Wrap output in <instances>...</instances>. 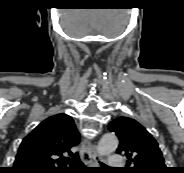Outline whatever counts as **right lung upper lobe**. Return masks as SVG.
<instances>
[{
    "label": "right lung upper lobe",
    "instance_id": "cb5924a9",
    "mask_svg": "<svg viewBox=\"0 0 184 173\" xmlns=\"http://www.w3.org/2000/svg\"><path fill=\"white\" fill-rule=\"evenodd\" d=\"M80 142L73 119L57 114L41 122L26 136L17 153L13 173H66L63 155Z\"/></svg>",
    "mask_w": 184,
    "mask_h": 173
}]
</instances>
